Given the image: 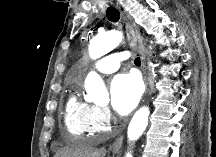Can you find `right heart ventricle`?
I'll return each mask as SVG.
<instances>
[{
	"mask_svg": "<svg viewBox=\"0 0 216 157\" xmlns=\"http://www.w3.org/2000/svg\"><path fill=\"white\" fill-rule=\"evenodd\" d=\"M91 109L92 105L81 100L77 93L71 94L65 109V126L70 134L81 137L89 132L88 116Z\"/></svg>",
	"mask_w": 216,
	"mask_h": 157,
	"instance_id": "right-heart-ventricle-1",
	"label": "right heart ventricle"
}]
</instances>
